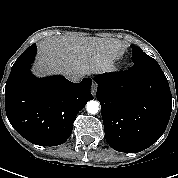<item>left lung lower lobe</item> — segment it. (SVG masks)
<instances>
[{"label":"left lung lower lobe","mask_w":178,"mask_h":178,"mask_svg":"<svg viewBox=\"0 0 178 178\" xmlns=\"http://www.w3.org/2000/svg\"><path fill=\"white\" fill-rule=\"evenodd\" d=\"M95 81L106 141L113 149L140 152L161 137L171 115L172 96L155 59L97 75Z\"/></svg>","instance_id":"obj_1"}]
</instances>
